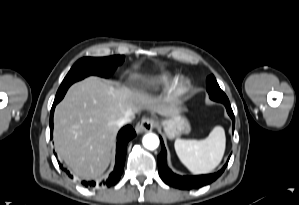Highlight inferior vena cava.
<instances>
[{
	"label": "inferior vena cava",
	"mask_w": 299,
	"mask_h": 205,
	"mask_svg": "<svg viewBox=\"0 0 299 205\" xmlns=\"http://www.w3.org/2000/svg\"><path fill=\"white\" fill-rule=\"evenodd\" d=\"M132 121L131 114H127L124 117H121L117 120L116 124L118 127H122L123 125L130 123Z\"/></svg>",
	"instance_id": "602c4592"
}]
</instances>
